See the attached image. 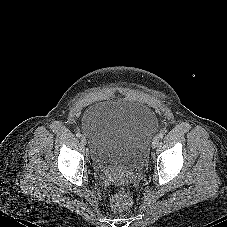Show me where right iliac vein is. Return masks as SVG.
<instances>
[{
  "label": "right iliac vein",
  "mask_w": 227,
  "mask_h": 227,
  "mask_svg": "<svg viewBox=\"0 0 227 227\" xmlns=\"http://www.w3.org/2000/svg\"><path fill=\"white\" fill-rule=\"evenodd\" d=\"M81 142H82V144L86 145V144H87V139H86V137L82 136V137H81Z\"/></svg>",
  "instance_id": "63e3f726"
}]
</instances>
